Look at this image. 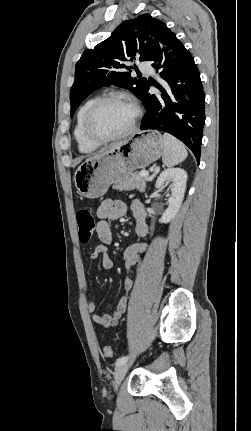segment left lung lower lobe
I'll list each match as a JSON object with an SVG mask.
<instances>
[{"mask_svg": "<svg viewBox=\"0 0 251 431\" xmlns=\"http://www.w3.org/2000/svg\"><path fill=\"white\" fill-rule=\"evenodd\" d=\"M150 61L163 81L148 84L144 91L141 100L146 114L141 130L157 129L174 135L191 149L199 163L205 95L194 59L171 33L154 48ZM150 85L161 93L150 95Z\"/></svg>", "mask_w": 251, "mask_h": 431, "instance_id": "0a47b994", "label": "left lung lower lobe"}]
</instances>
